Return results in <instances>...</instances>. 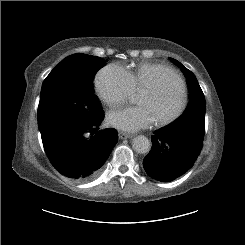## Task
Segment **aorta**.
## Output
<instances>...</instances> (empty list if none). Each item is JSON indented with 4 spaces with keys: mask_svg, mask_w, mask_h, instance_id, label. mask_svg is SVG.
I'll return each mask as SVG.
<instances>
[{
    "mask_svg": "<svg viewBox=\"0 0 245 245\" xmlns=\"http://www.w3.org/2000/svg\"><path fill=\"white\" fill-rule=\"evenodd\" d=\"M132 147L137 153L146 154L150 151L151 143L147 137L139 135L133 139Z\"/></svg>",
    "mask_w": 245,
    "mask_h": 245,
    "instance_id": "1",
    "label": "aorta"
}]
</instances>
